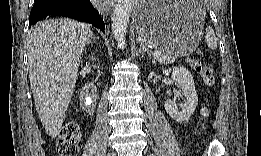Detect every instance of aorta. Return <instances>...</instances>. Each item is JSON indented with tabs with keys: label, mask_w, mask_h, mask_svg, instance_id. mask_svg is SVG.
<instances>
[{
	"label": "aorta",
	"mask_w": 261,
	"mask_h": 156,
	"mask_svg": "<svg viewBox=\"0 0 261 156\" xmlns=\"http://www.w3.org/2000/svg\"><path fill=\"white\" fill-rule=\"evenodd\" d=\"M134 5L133 0H116L112 15V31L119 49L126 45V31Z\"/></svg>",
	"instance_id": "1"
}]
</instances>
